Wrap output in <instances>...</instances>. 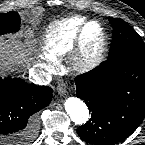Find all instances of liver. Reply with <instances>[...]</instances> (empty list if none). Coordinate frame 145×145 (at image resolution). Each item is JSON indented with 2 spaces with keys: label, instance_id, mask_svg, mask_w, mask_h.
<instances>
[{
  "label": "liver",
  "instance_id": "liver-1",
  "mask_svg": "<svg viewBox=\"0 0 145 145\" xmlns=\"http://www.w3.org/2000/svg\"><path fill=\"white\" fill-rule=\"evenodd\" d=\"M26 62L24 45L11 38L7 41L0 40V70H13L15 66Z\"/></svg>",
  "mask_w": 145,
  "mask_h": 145
}]
</instances>
